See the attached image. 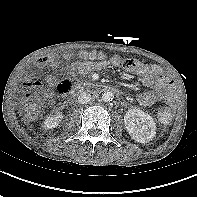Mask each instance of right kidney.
<instances>
[{
	"label": "right kidney",
	"mask_w": 197,
	"mask_h": 197,
	"mask_svg": "<svg viewBox=\"0 0 197 197\" xmlns=\"http://www.w3.org/2000/svg\"><path fill=\"white\" fill-rule=\"evenodd\" d=\"M62 119H63L62 113H57L56 115L49 116L44 122V127L46 129H53L60 124Z\"/></svg>",
	"instance_id": "1"
}]
</instances>
